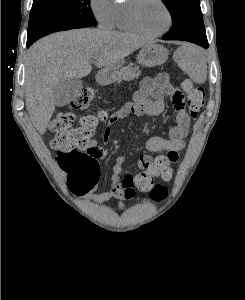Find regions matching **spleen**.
Returning <instances> with one entry per match:
<instances>
[{
	"label": "spleen",
	"mask_w": 245,
	"mask_h": 300,
	"mask_svg": "<svg viewBox=\"0 0 245 300\" xmlns=\"http://www.w3.org/2000/svg\"><path fill=\"white\" fill-rule=\"evenodd\" d=\"M183 52L185 56L180 62L181 68L195 83H204L207 79V65L202 51L196 47H187Z\"/></svg>",
	"instance_id": "obj_1"
}]
</instances>
